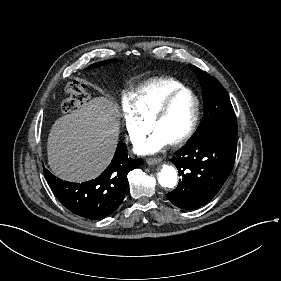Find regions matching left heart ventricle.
Instances as JSON below:
<instances>
[{
    "mask_svg": "<svg viewBox=\"0 0 281 281\" xmlns=\"http://www.w3.org/2000/svg\"><path fill=\"white\" fill-rule=\"evenodd\" d=\"M194 108V99L189 94L180 96L157 121L152 132L159 133L168 142L173 141L188 127Z\"/></svg>",
    "mask_w": 281,
    "mask_h": 281,
    "instance_id": "obj_1",
    "label": "left heart ventricle"
}]
</instances>
